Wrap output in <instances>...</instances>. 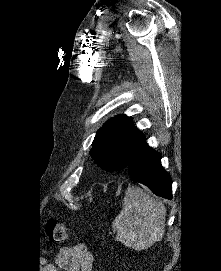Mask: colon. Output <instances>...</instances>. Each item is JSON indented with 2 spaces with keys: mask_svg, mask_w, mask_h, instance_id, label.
Instances as JSON below:
<instances>
[{
  "mask_svg": "<svg viewBox=\"0 0 221 271\" xmlns=\"http://www.w3.org/2000/svg\"><path fill=\"white\" fill-rule=\"evenodd\" d=\"M47 229L49 230L54 242L62 243L66 241L68 237V226L65 222L49 219L47 221Z\"/></svg>",
  "mask_w": 221,
  "mask_h": 271,
  "instance_id": "colon-1",
  "label": "colon"
}]
</instances>
